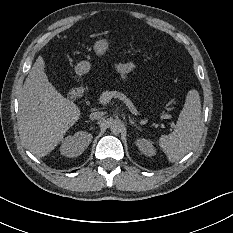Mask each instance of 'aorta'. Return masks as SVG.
I'll return each instance as SVG.
<instances>
[{
    "mask_svg": "<svg viewBox=\"0 0 233 233\" xmlns=\"http://www.w3.org/2000/svg\"><path fill=\"white\" fill-rule=\"evenodd\" d=\"M110 129L114 134H117L120 132L121 129V123L117 122V121H113L110 125Z\"/></svg>",
    "mask_w": 233,
    "mask_h": 233,
    "instance_id": "1",
    "label": "aorta"
}]
</instances>
